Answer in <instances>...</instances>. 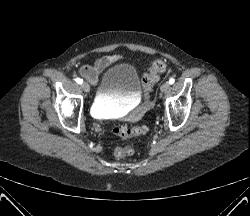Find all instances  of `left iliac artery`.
<instances>
[{
    "instance_id": "1",
    "label": "left iliac artery",
    "mask_w": 250,
    "mask_h": 216,
    "mask_svg": "<svg viewBox=\"0 0 250 216\" xmlns=\"http://www.w3.org/2000/svg\"><path fill=\"white\" fill-rule=\"evenodd\" d=\"M175 82V79L174 78H170L169 79V84H173Z\"/></svg>"
}]
</instances>
